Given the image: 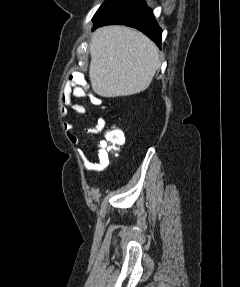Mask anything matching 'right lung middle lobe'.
<instances>
[{"label": "right lung middle lobe", "instance_id": "obj_1", "mask_svg": "<svg viewBox=\"0 0 240 287\" xmlns=\"http://www.w3.org/2000/svg\"><path fill=\"white\" fill-rule=\"evenodd\" d=\"M111 0H106L98 9V11L95 13L94 17H93V21H95L97 19V17L103 12V10L105 9V7L110 3Z\"/></svg>", "mask_w": 240, "mask_h": 287}]
</instances>
